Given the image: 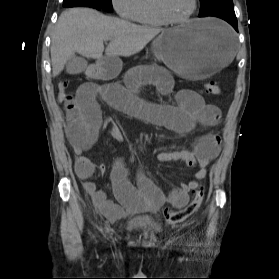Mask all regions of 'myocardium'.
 <instances>
[{"label":"myocardium","instance_id":"f54148a6","mask_svg":"<svg viewBox=\"0 0 279 279\" xmlns=\"http://www.w3.org/2000/svg\"><path fill=\"white\" fill-rule=\"evenodd\" d=\"M154 6H155L157 14L165 23L181 24V23L187 22L194 16V14L196 13L197 8H198V0H193V5H192V8L190 9V11L185 16L180 17V18H174L169 15V13L167 12V10L165 8L164 0H154Z\"/></svg>","mask_w":279,"mask_h":279}]
</instances>
